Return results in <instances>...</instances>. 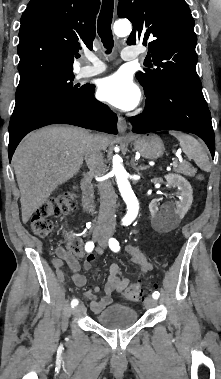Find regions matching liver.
Returning a JSON list of instances; mask_svg holds the SVG:
<instances>
[{
	"instance_id": "1",
	"label": "liver",
	"mask_w": 221,
	"mask_h": 379,
	"mask_svg": "<svg viewBox=\"0 0 221 379\" xmlns=\"http://www.w3.org/2000/svg\"><path fill=\"white\" fill-rule=\"evenodd\" d=\"M89 137V132L82 128L49 126L21 141L12 162L21 194L23 223L81 168ZM96 138L101 149L106 150L108 137Z\"/></svg>"
}]
</instances>
